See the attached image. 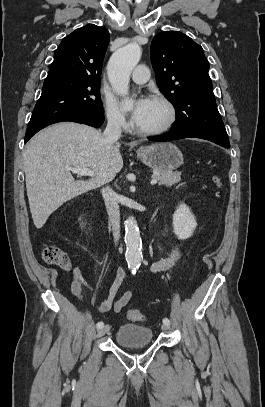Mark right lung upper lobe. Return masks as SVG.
<instances>
[{
  "label": "right lung upper lobe",
  "instance_id": "right-lung-upper-lobe-1",
  "mask_svg": "<svg viewBox=\"0 0 265 407\" xmlns=\"http://www.w3.org/2000/svg\"><path fill=\"white\" fill-rule=\"evenodd\" d=\"M109 43L104 27L86 25L65 37L54 52L47 77L68 76L101 80V68Z\"/></svg>",
  "mask_w": 265,
  "mask_h": 407
}]
</instances>
